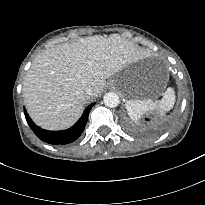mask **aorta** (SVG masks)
<instances>
[{"mask_svg":"<svg viewBox=\"0 0 205 205\" xmlns=\"http://www.w3.org/2000/svg\"><path fill=\"white\" fill-rule=\"evenodd\" d=\"M103 101H104L105 106L109 108L117 107L120 102L119 96L113 92L106 93L103 97Z\"/></svg>","mask_w":205,"mask_h":205,"instance_id":"obj_1","label":"aorta"}]
</instances>
